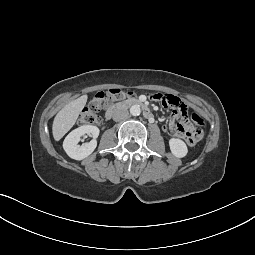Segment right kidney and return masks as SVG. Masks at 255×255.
<instances>
[{"instance_id": "obj_1", "label": "right kidney", "mask_w": 255, "mask_h": 255, "mask_svg": "<svg viewBox=\"0 0 255 255\" xmlns=\"http://www.w3.org/2000/svg\"><path fill=\"white\" fill-rule=\"evenodd\" d=\"M84 134H88L93 137L88 143L79 145L80 137ZM99 135V129L93 125H83L72 132H70L63 142V149L67 155L75 160H83L88 157L96 148L97 142L96 138Z\"/></svg>"}]
</instances>
